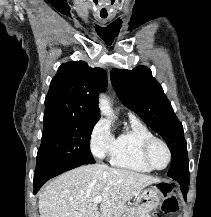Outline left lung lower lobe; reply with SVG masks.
Wrapping results in <instances>:
<instances>
[{"label": "left lung lower lobe", "instance_id": "1", "mask_svg": "<svg viewBox=\"0 0 211 217\" xmlns=\"http://www.w3.org/2000/svg\"><path fill=\"white\" fill-rule=\"evenodd\" d=\"M180 184V189L183 193L184 199L186 200L187 192H188V185H189V180L186 179H174Z\"/></svg>", "mask_w": 211, "mask_h": 217}]
</instances>
